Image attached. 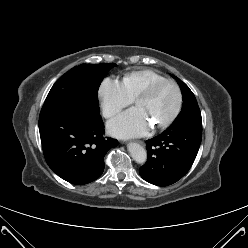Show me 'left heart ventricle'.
Here are the masks:
<instances>
[{"label": "left heart ventricle", "mask_w": 248, "mask_h": 248, "mask_svg": "<svg viewBox=\"0 0 248 248\" xmlns=\"http://www.w3.org/2000/svg\"><path fill=\"white\" fill-rule=\"evenodd\" d=\"M176 104L175 87L170 83H162L155 88L149 98L139 101L136 105L153 124H158L171 116Z\"/></svg>", "instance_id": "obj_1"}]
</instances>
